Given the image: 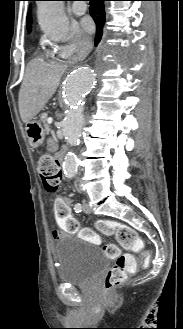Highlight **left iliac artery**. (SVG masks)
<instances>
[{
  "label": "left iliac artery",
  "mask_w": 183,
  "mask_h": 329,
  "mask_svg": "<svg viewBox=\"0 0 183 329\" xmlns=\"http://www.w3.org/2000/svg\"><path fill=\"white\" fill-rule=\"evenodd\" d=\"M74 210L76 213H79L82 211V205L80 203H76L74 206Z\"/></svg>",
  "instance_id": "left-iliac-artery-1"
}]
</instances>
